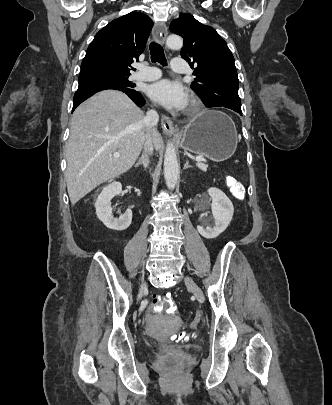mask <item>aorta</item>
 Segmentation results:
<instances>
[{
	"label": "aorta",
	"mask_w": 332,
	"mask_h": 405,
	"mask_svg": "<svg viewBox=\"0 0 332 405\" xmlns=\"http://www.w3.org/2000/svg\"><path fill=\"white\" fill-rule=\"evenodd\" d=\"M166 45L171 49H180L183 40L178 35H170ZM164 178L169 189H174L179 179V164L174 145L169 142L164 155Z\"/></svg>",
	"instance_id": "1"
}]
</instances>
